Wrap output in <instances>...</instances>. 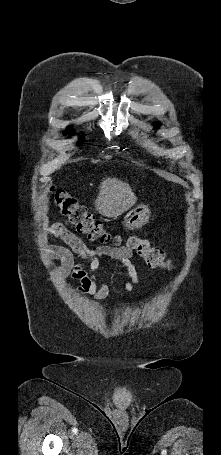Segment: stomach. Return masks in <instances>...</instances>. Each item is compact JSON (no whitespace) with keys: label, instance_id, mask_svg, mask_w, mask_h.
Instances as JSON below:
<instances>
[{"label":"stomach","instance_id":"obj_1","mask_svg":"<svg viewBox=\"0 0 221 455\" xmlns=\"http://www.w3.org/2000/svg\"><path fill=\"white\" fill-rule=\"evenodd\" d=\"M150 214L148 205L141 203L126 213L122 224L128 230L140 228L149 221Z\"/></svg>","mask_w":221,"mask_h":455}]
</instances>
